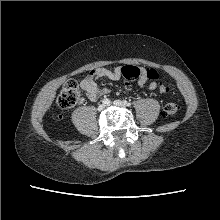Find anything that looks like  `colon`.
<instances>
[{"label": "colon", "instance_id": "obj_1", "mask_svg": "<svg viewBox=\"0 0 220 220\" xmlns=\"http://www.w3.org/2000/svg\"><path fill=\"white\" fill-rule=\"evenodd\" d=\"M141 74V71L136 66H124L121 69V76L126 83H130L135 81ZM148 76L150 79H158L159 74L154 69L148 70ZM158 91L160 93H165L167 91V87L164 85L158 86ZM81 98V89L79 84L75 80L67 81L63 88L61 89L58 97H57V105L60 109L67 110L74 107ZM178 110V106L174 102L167 103L164 106L163 112L167 116L174 115Z\"/></svg>", "mask_w": 220, "mask_h": 220}]
</instances>
